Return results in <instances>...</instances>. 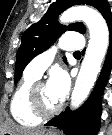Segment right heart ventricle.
<instances>
[{
  "instance_id": "1",
  "label": "right heart ventricle",
  "mask_w": 112,
  "mask_h": 135,
  "mask_svg": "<svg viewBox=\"0 0 112 135\" xmlns=\"http://www.w3.org/2000/svg\"><path fill=\"white\" fill-rule=\"evenodd\" d=\"M38 80V77L25 72L23 78L18 84L10 102V113L13 119L25 127L36 126L41 122V118L36 116L28 102V94L32 85Z\"/></svg>"
}]
</instances>
